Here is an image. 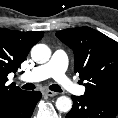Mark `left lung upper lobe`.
I'll return each mask as SVG.
<instances>
[{"label": "left lung upper lobe", "instance_id": "left-lung-upper-lobe-1", "mask_svg": "<svg viewBox=\"0 0 118 118\" xmlns=\"http://www.w3.org/2000/svg\"><path fill=\"white\" fill-rule=\"evenodd\" d=\"M74 51V72L87 80L84 96L118 104V43L89 27L57 31Z\"/></svg>", "mask_w": 118, "mask_h": 118}]
</instances>
